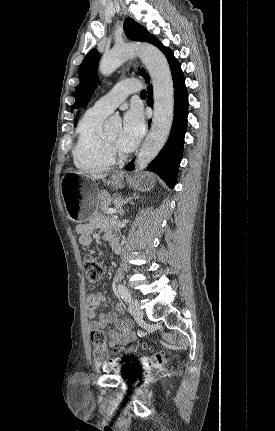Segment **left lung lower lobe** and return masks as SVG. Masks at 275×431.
<instances>
[{"label": "left lung lower lobe", "mask_w": 275, "mask_h": 431, "mask_svg": "<svg viewBox=\"0 0 275 431\" xmlns=\"http://www.w3.org/2000/svg\"><path fill=\"white\" fill-rule=\"evenodd\" d=\"M164 55L169 63L174 91V119L169 138L157 157L148 165L147 170L157 173L170 187L175 185L178 167L183 155L184 136L187 128L188 92L181 66L168 49ZM149 83V79L146 80ZM147 105L153 106V88L148 86ZM151 120L149 121L150 124ZM134 161L126 165V170L133 169Z\"/></svg>", "instance_id": "1"}]
</instances>
